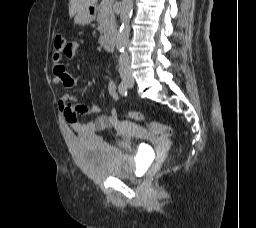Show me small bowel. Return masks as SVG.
<instances>
[{"label": "small bowel", "instance_id": "small-bowel-1", "mask_svg": "<svg viewBox=\"0 0 256 228\" xmlns=\"http://www.w3.org/2000/svg\"><path fill=\"white\" fill-rule=\"evenodd\" d=\"M79 43H68L63 54L57 55L54 53L52 57L53 65V83L63 84L66 88L72 89L77 86V78L67 72L63 59H73L76 56ZM109 95L117 100L118 94L116 85L113 81H109L108 86ZM58 107L65 118L71 125L72 129L79 133H89L104 130L107 128H116L121 125L117 111L113 109L109 115H102L101 109L96 105L76 104L74 98L70 95L62 96L58 101ZM88 113L97 115L96 119L90 122H82L79 117Z\"/></svg>", "mask_w": 256, "mask_h": 228}]
</instances>
